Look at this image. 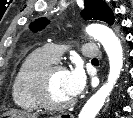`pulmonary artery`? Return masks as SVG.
Wrapping results in <instances>:
<instances>
[{
    "instance_id": "e3ab8cb5",
    "label": "pulmonary artery",
    "mask_w": 133,
    "mask_h": 118,
    "mask_svg": "<svg viewBox=\"0 0 133 118\" xmlns=\"http://www.w3.org/2000/svg\"><path fill=\"white\" fill-rule=\"evenodd\" d=\"M64 49H65L64 45H57V44H47L43 48V50L53 61H57L59 59ZM81 51L83 56L91 59L97 58V56L99 55V49L93 43L83 44L81 47Z\"/></svg>"
}]
</instances>
